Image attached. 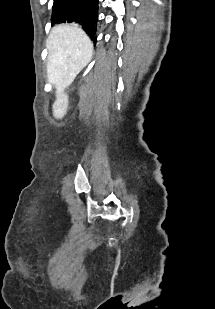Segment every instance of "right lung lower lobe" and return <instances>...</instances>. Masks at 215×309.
I'll use <instances>...</instances> for the list:
<instances>
[{"label": "right lung lower lobe", "mask_w": 215, "mask_h": 309, "mask_svg": "<svg viewBox=\"0 0 215 309\" xmlns=\"http://www.w3.org/2000/svg\"><path fill=\"white\" fill-rule=\"evenodd\" d=\"M99 0H54L52 23L73 22L85 29L96 43Z\"/></svg>", "instance_id": "98d812e1"}]
</instances>
